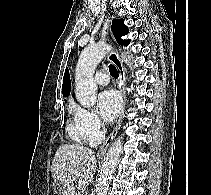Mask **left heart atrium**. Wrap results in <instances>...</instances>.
Segmentation results:
<instances>
[{
  "label": "left heart atrium",
  "mask_w": 211,
  "mask_h": 195,
  "mask_svg": "<svg viewBox=\"0 0 211 195\" xmlns=\"http://www.w3.org/2000/svg\"><path fill=\"white\" fill-rule=\"evenodd\" d=\"M98 107L101 117L107 122H112L121 108V99L118 93L113 90H105L100 93Z\"/></svg>",
  "instance_id": "left-heart-atrium-1"
}]
</instances>
